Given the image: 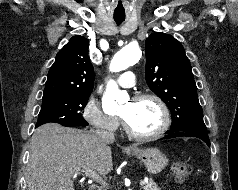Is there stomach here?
Instances as JSON below:
<instances>
[{
  "instance_id": "obj_1",
  "label": "stomach",
  "mask_w": 238,
  "mask_h": 190,
  "mask_svg": "<svg viewBox=\"0 0 238 190\" xmlns=\"http://www.w3.org/2000/svg\"><path fill=\"white\" fill-rule=\"evenodd\" d=\"M128 154L135 155L145 165L150 174L160 173L168 164V158L157 148L133 149Z\"/></svg>"
}]
</instances>
